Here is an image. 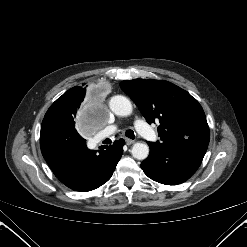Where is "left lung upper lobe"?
<instances>
[{
    "mask_svg": "<svg viewBox=\"0 0 247 247\" xmlns=\"http://www.w3.org/2000/svg\"><path fill=\"white\" fill-rule=\"evenodd\" d=\"M148 123L159 122L162 146L192 142L208 145L209 127L201 105L188 92L164 80L134 79L120 83Z\"/></svg>",
    "mask_w": 247,
    "mask_h": 247,
    "instance_id": "1",
    "label": "left lung upper lobe"
}]
</instances>
